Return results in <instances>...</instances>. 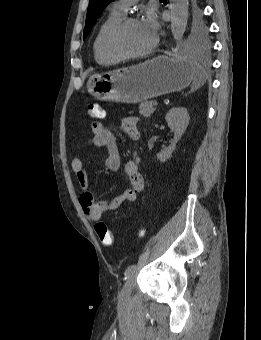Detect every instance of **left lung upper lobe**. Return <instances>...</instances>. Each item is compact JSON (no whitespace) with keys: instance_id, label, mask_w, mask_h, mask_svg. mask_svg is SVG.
Segmentation results:
<instances>
[{"instance_id":"left-lung-upper-lobe-1","label":"left lung upper lobe","mask_w":261,"mask_h":340,"mask_svg":"<svg viewBox=\"0 0 261 340\" xmlns=\"http://www.w3.org/2000/svg\"><path fill=\"white\" fill-rule=\"evenodd\" d=\"M112 1L113 0H90L83 39L86 38L104 9ZM187 41L190 46L199 49H206L209 44L207 26L203 21L202 11L197 4V0H190Z\"/></svg>"}]
</instances>
